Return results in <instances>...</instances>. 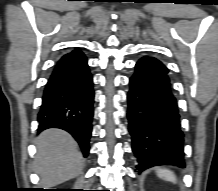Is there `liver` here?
I'll list each match as a JSON object with an SVG mask.
<instances>
[{
  "label": "liver",
  "instance_id": "6515ba94",
  "mask_svg": "<svg viewBox=\"0 0 218 191\" xmlns=\"http://www.w3.org/2000/svg\"><path fill=\"white\" fill-rule=\"evenodd\" d=\"M35 171L41 185L54 187L78 176L84 159L77 142L70 134L59 129L43 131L36 139Z\"/></svg>",
  "mask_w": 218,
  "mask_h": 191
}]
</instances>
